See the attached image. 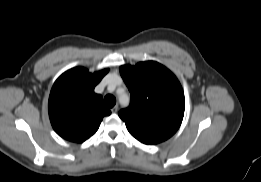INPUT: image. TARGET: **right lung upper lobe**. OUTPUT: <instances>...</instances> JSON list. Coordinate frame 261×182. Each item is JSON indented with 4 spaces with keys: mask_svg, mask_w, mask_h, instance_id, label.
Here are the masks:
<instances>
[{
    "mask_svg": "<svg viewBox=\"0 0 261 182\" xmlns=\"http://www.w3.org/2000/svg\"><path fill=\"white\" fill-rule=\"evenodd\" d=\"M108 71L92 74L83 67H76L55 81L48 111L53 129L62 138L82 143L98 130L103 117L111 114L103 105L102 96L94 92Z\"/></svg>",
    "mask_w": 261,
    "mask_h": 182,
    "instance_id": "obj_1",
    "label": "right lung upper lobe"
}]
</instances>
